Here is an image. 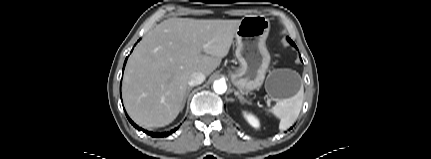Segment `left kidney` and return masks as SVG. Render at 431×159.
Returning a JSON list of instances; mask_svg holds the SVG:
<instances>
[{
  "label": "left kidney",
  "instance_id": "5707ae66",
  "mask_svg": "<svg viewBox=\"0 0 431 159\" xmlns=\"http://www.w3.org/2000/svg\"><path fill=\"white\" fill-rule=\"evenodd\" d=\"M244 117L249 122V124L252 125L254 128H258L259 127V125H260L259 121H258V119L255 116H253L251 114L244 113Z\"/></svg>",
  "mask_w": 431,
  "mask_h": 159
}]
</instances>
